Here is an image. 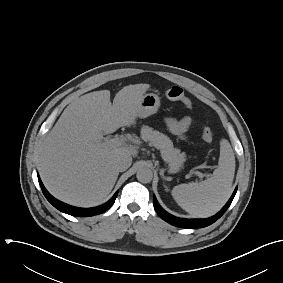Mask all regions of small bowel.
Returning a JSON list of instances; mask_svg holds the SVG:
<instances>
[{
    "mask_svg": "<svg viewBox=\"0 0 283 283\" xmlns=\"http://www.w3.org/2000/svg\"><path fill=\"white\" fill-rule=\"evenodd\" d=\"M166 126L173 134L183 137L192 125V119L190 117H184L182 119L167 118Z\"/></svg>",
    "mask_w": 283,
    "mask_h": 283,
    "instance_id": "obj_1",
    "label": "small bowel"
}]
</instances>
